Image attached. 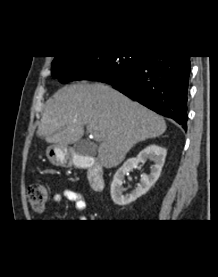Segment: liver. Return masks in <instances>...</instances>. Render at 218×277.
I'll return each mask as SVG.
<instances>
[{"label":"liver","mask_w":218,"mask_h":277,"mask_svg":"<svg viewBox=\"0 0 218 277\" xmlns=\"http://www.w3.org/2000/svg\"><path fill=\"white\" fill-rule=\"evenodd\" d=\"M84 125L98 135V159L106 168L119 165L138 142L166 131L163 117L102 83L73 84L47 102L37 134L47 143L79 141Z\"/></svg>","instance_id":"1"}]
</instances>
